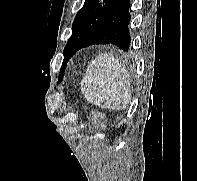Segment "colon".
<instances>
[{"instance_id": "obj_1", "label": "colon", "mask_w": 197, "mask_h": 181, "mask_svg": "<svg viewBox=\"0 0 197 181\" xmlns=\"http://www.w3.org/2000/svg\"><path fill=\"white\" fill-rule=\"evenodd\" d=\"M101 117H102V116H101V114H99V113L93 115V119H94V120H100Z\"/></svg>"}]
</instances>
